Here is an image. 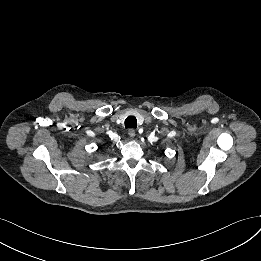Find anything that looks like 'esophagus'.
<instances>
[{"label": "esophagus", "mask_w": 261, "mask_h": 261, "mask_svg": "<svg viewBox=\"0 0 261 261\" xmlns=\"http://www.w3.org/2000/svg\"><path fill=\"white\" fill-rule=\"evenodd\" d=\"M128 135L131 137V138H134L135 137V130L134 129H129L128 131Z\"/></svg>", "instance_id": "esophagus-1"}]
</instances>
